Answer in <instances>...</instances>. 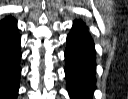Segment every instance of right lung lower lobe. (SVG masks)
Listing matches in <instances>:
<instances>
[{"mask_svg": "<svg viewBox=\"0 0 128 99\" xmlns=\"http://www.w3.org/2000/svg\"><path fill=\"white\" fill-rule=\"evenodd\" d=\"M20 57L17 21L9 16L0 21V99L17 98Z\"/></svg>", "mask_w": 128, "mask_h": 99, "instance_id": "right-lung-lower-lobe-1", "label": "right lung lower lobe"}]
</instances>
